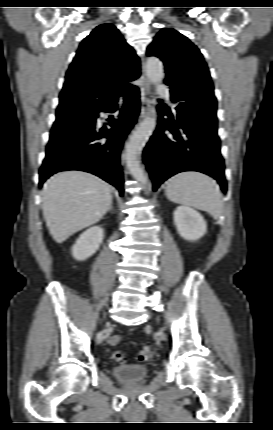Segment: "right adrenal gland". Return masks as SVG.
Instances as JSON below:
<instances>
[{
  "instance_id": "2a0ac1e0",
  "label": "right adrenal gland",
  "mask_w": 273,
  "mask_h": 430,
  "mask_svg": "<svg viewBox=\"0 0 273 430\" xmlns=\"http://www.w3.org/2000/svg\"><path fill=\"white\" fill-rule=\"evenodd\" d=\"M109 210H113V205L112 204L109 206L108 211Z\"/></svg>"
}]
</instances>
